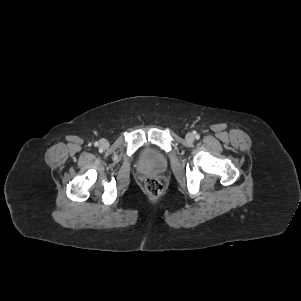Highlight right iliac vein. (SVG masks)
<instances>
[{
  "label": "right iliac vein",
  "instance_id": "right-iliac-vein-1",
  "mask_svg": "<svg viewBox=\"0 0 301 301\" xmlns=\"http://www.w3.org/2000/svg\"><path fill=\"white\" fill-rule=\"evenodd\" d=\"M99 146L103 149L107 148L108 147V141L106 139H101L99 141Z\"/></svg>",
  "mask_w": 301,
  "mask_h": 301
}]
</instances>
